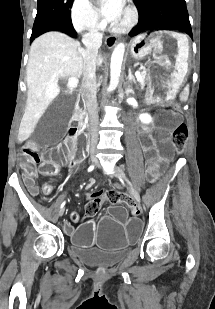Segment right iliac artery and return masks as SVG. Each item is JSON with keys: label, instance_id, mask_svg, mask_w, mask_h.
<instances>
[{"label": "right iliac artery", "instance_id": "obj_1", "mask_svg": "<svg viewBox=\"0 0 215 309\" xmlns=\"http://www.w3.org/2000/svg\"><path fill=\"white\" fill-rule=\"evenodd\" d=\"M94 169V166L92 165V166H90L89 168H88V171H92ZM65 203H66V201H64L62 204H61V209L64 207V205H65Z\"/></svg>", "mask_w": 215, "mask_h": 309}]
</instances>
